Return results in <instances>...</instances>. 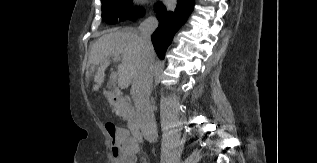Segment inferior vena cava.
<instances>
[{"mask_svg":"<svg viewBox=\"0 0 317 163\" xmlns=\"http://www.w3.org/2000/svg\"><path fill=\"white\" fill-rule=\"evenodd\" d=\"M158 26L155 17H149L139 26L142 45V63L132 84V98L135 103L141 133L149 142L157 140V126L149 97L152 91L154 49L151 35Z\"/></svg>","mask_w":317,"mask_h":163,"instance_id":"1","label":"inferior vena cava"}]
</instances>
